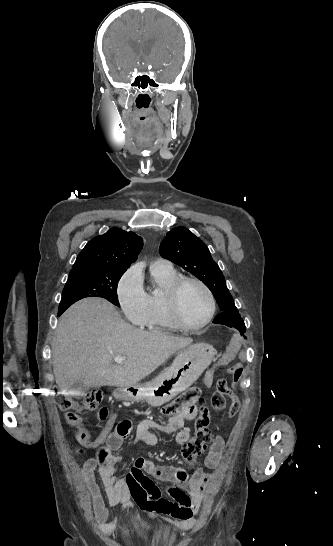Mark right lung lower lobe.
<instances>
[{
    "mask_svg": "<svg viewBox=\"0 0 333 546\" xmlns=\"http://www.w3.org/2000/svg\"><path fill=\"white\" fill-rule=\"evenodd\" d=\"M63 312H64V311H62V310H59V312H58V316H60V315H61V314H62Z\"/></svg>",
    "mask_w": 333,
    "mask_h": 546,
    "instance_id": "right-lung-lower-lobe-1",
    "label": "right lung lower lobe"
}]
</instances>
